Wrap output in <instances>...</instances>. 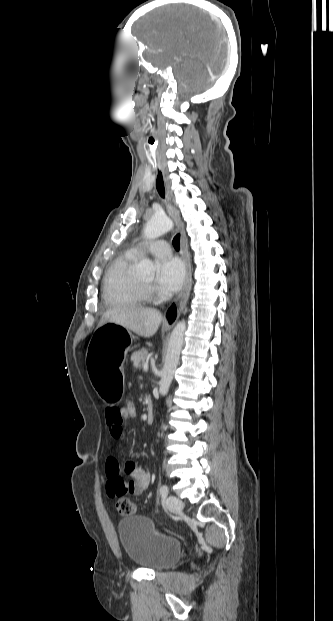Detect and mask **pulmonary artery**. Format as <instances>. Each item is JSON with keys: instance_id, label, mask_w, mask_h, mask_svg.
<instances>
[{"instance_id": "e3ab8cb5", "label": "pulmonary artery", "mask_w": 333, "mask_h": 621, "mask_svg": "<svg viewBox=\"0 0 333 621\" xmlns=\"http://www.w3.org/2000/svg\"><path fill=\"white\" fill-rule=\"evenodd\" d=\"M143 250L159 258H167L171 254V249L168 243L163 240L152 242L148 244L145 248H141L140 246H135L130 249V252L136 256Z\"/></svg>"}]
</instances>
